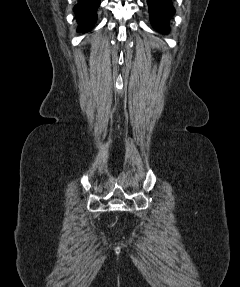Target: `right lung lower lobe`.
Returning a JSON list of instances; mask_svg holds the SVG:
<instances>
[{
  "label": "right lung lower lobe",
  "mask_w": 240,
  "mask_h": 287,
  "mask_svg": "<svg viewBox=\"0 0 240 287\" xmlns=\"http://www.w3.org/2000/svg\"><path fill=\"white\" fill-rule=\"evenodd\" d=\"M100 4V0H78L74 7L77 15L78 31L87 32L95 24L97 20L96 10Z\"/></svg>",
  "instance_id": "98d812e1"
}]
</instances>
